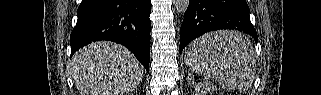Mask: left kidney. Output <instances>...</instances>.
<instances>
[{
  "label": "left kidney",
  "mask_w": 321,
  "mask_h": 95,
  "mask_svg": "<svg viewBox=\"0 0 321 95\" xmlns=\"http://www.w3.org/2000/svg\"><path fill=\"white\" fill-rule=\"evenodd\" d=\"M210 90H211L210 87H205V88L203 87V88L197 90V95H204L207 92H209Z\"/></svg>",
  "instance_id": "left-kidney-1"
}]
</instances>
